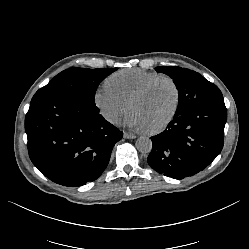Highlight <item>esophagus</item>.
Listing matches in <instances>:
<instances>
[{
	"mask_svg": "<svg viewBox=\"0 0 249 249\" xmlns=\"http://www.w3.org/2000/svg\"><path fill=\"white\" fill-rule=\"evenodd\" d=\"M137 136L133 135V134H128V133H124V138L126 139H135Z\"/></svg>",
	"mask_w": 249,
	"mask_h": 249,
	"instance_id": "34e87169",
	"label": "esophagus"
}]
</instances>
